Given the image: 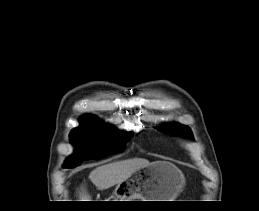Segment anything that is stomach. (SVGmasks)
Masks as SVG:
<instances>
[{
    "mask_svg": "<svg viewBox=\"0 0 259 211\" xmlns=\"http://www.w3.org/2000/svg\"><path fill=\"white\" fill-rule=\"evenodd\" d=\"M183 182V176L175 166L157 161L117 184L113 195L119 199L115 201H172L180 192Z\"/></svg>",
    "mask_w": 259,
    "mask_h": 211,
    "instance_id": "obj_1",
    "label": "stomach"
}]
</instances>
